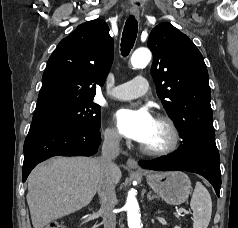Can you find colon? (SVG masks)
<instances>
[{
	"mask_svg": "<svg viewBox=\"0 0 238 228\" xmlns=\"http://www.w3.org/2000/svg\"><path fill=\"white\" fill-rule=\"evenodd\" d=\"M46 228H65L64 225L59 221H53L49 223Z\"/></svg>",
	"mask_w": 238,
	"mask_h": 228,
	"instance_id": "colon-1",
	"label": "colon"
}]
</instances>
